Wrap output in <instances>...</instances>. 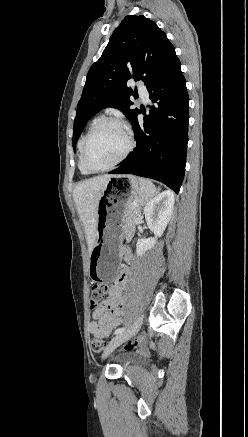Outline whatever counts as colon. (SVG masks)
<instances>
[{"label":"colon","mask_w":248,"mask_h":437,"mask_svg":"<svg viewBox=\"0 0 248 437\" xmlns=\"http://www.w3.org/2000/svg\"><path fill=\"white\" fill-rule=\"evenodd\" d=\"M108 286H92L91 288V304L97 305L107 294ZM145 345L144 338H137L132 341L126 342L124 345L125 350H132L137 347H142ZM91 349L94 352H100L104 348V342L100 338H92L90 342Z\"/></svg>","instance_id":"obj_1"}]
</instances>
